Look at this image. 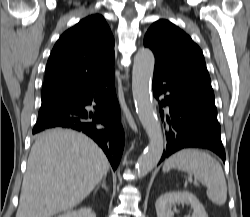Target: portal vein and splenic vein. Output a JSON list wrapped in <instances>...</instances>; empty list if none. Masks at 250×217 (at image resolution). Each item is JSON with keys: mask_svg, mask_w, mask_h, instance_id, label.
I'll list each match as a JSON object with an SVG mask.
<instances>
[{"mask_svg": "<svg viewBox=\"0 0 250 217\" xmlns=\"http://www.w3.org/2000/svg\"><path fill=\"white\" fill-rule=\"evenodd\" d=\"M193 183H194V184H197V182H196V181H194Z\"/></svg>", "mask_w": 250, "mask_h": 217, "instance_id": "18ae733b", "label": "portal vein and splenic vein"}]
</instances>
